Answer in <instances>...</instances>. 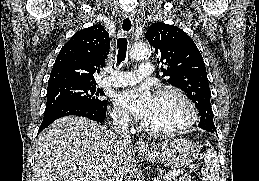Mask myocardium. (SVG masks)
<instances>
[{
  "instance_id": "obj_1",
  "label": "myocardium",
  "mask_w": 259,
  "mask_h": 181,
  "mask_svg": "<svg viewBox=\"0 0 259 181\" xmlns=\"http://www.w3.org/2000/svg\"><path fill=\"white\" fill-rule=\"evenodd\" d=\"M165 94H171L177 97L184 105L186 109V118L182 124H180L177 127L170 128V129H157V128H152L148 126L146 123H143L144 129L156 136H174L180 133H183L190 129L196 122L197 120V111L195 108L194 103L192 100L189 98V96L180 88L173 86V85H165L161 87L157 92H156V97L163 96Z\"/></svg>"
}]
</instances>
